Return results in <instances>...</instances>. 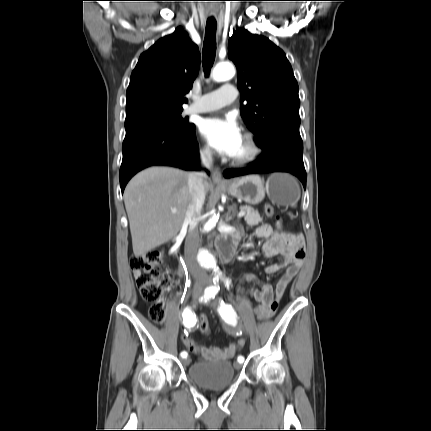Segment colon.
Here are the masks:
<instances>
[{
	"label": "colon",
	"mask_w": 431,
	"mask_h": 431,
	"mask_svg": "<svg viewBox=\"0 0 431 431\" xmlns=\"http://www.w3.org/2000/svg\"><path fill=\"white\" fill-rule=\"evenodd\" d=\"M265 213L267 216L272 217L275 215V209L271 204L265 206ZM277 226L281 228L282 221L277 218ZM162 256L158 251H149L143 255L133 256L130 260V266L135 278L136 286L140 291L142 298L150 303L149 316L151 320L157 324H162L165 320L166 306L162 301V294L172 282V273L168 270L161 268ZM255 317H260L261 313L257 307H253ZM198 319H200V329L203 333L209 331V319L206 311L198 312ZM182 345L187 351L195 349L196 340L191 338L189 333H182L180 335ZM237 355H241L244 351L247 341L244 335L238 337Z\"/></svg>",
	"instance_id": "colon-1"
}]
</instances>
